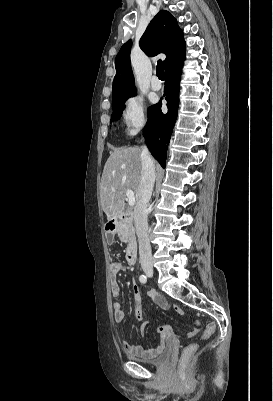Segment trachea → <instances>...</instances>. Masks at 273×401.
Returning a JSON list of instances; mask_svg holds the SVG:
<instances>
[{
	"mask_svg": "<svg viewBox=\"0 0 273 401\" xmlns=\"http://www.w3.org/2000/svg\"><path fill=\"white\" fill-rule=\"evenodd\" d=\"M156 74L159 79L161 80L165 79L164 65L161 60H159L157 63Z\"/></svg>",
	"mask_w": 273,
	"mask_h": 401,
	"instance_id": "trachea-1",
	"label": "trachea"
}]
</instances>
